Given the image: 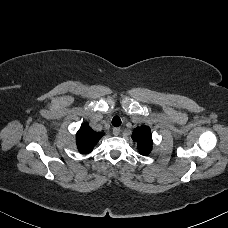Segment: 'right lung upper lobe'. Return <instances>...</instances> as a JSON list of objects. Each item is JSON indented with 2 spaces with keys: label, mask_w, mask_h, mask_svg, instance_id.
I'll return each instance as SVG.
<instances>
[{
  "label": "right lung upper lobe",
  "mask_w": 228,
  "mask_h": 228,
  "mask_svg": "<svg viewBox=\"0 0 228 228\" xmlns=\"http://www.w3.org/2000/svg\"><path fill=\"white\" fill-rule=\"evenodd\" d=\"M103 135V133L93 131L88 124H82L76 134L79 152L82 154L91 152Z\"/></svg>",
  "instance_id": "right-lung-upper-lobe-1"
}]
</instances>
